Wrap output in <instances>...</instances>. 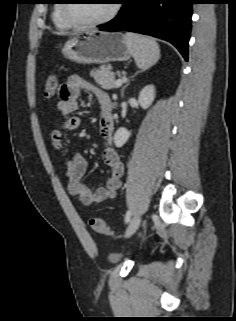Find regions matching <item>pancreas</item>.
Instances as JSON below:
<instances>
[{
    "label": "pancreas",
    "mask_w": 236,
    "mask_h": 321,
    "mask_svg": "<svg viewBox=\"0 0 236 321\" xmlns=\"http://www.w3.org/2000/svg\"><path fill=\"white\" fill-rule=\"evenodd\" d=\"M91 77L104 89L116 88L115 74L110 65H102L99 69L92 70Z\"/></svg>",
    "instance_id": "pancreas-1"
}]
</instances>
